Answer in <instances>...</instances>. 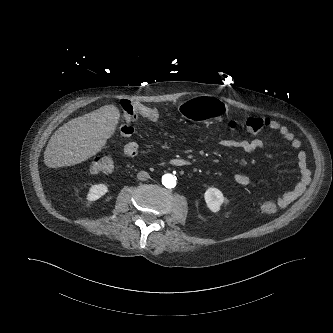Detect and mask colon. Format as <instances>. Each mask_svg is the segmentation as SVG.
I'll return each instance as SVG.
<instances>
[{"instance_id": "5ec220e1", "label": "colon", "mask_w": 333, "mask_h": 333, "mask_svg": "<svg viewBox=\"0 0 333 333\" xmlns=\"http://www.w3.org/2000/svg\"><path fill=\"white\" fill-rule=\"evenodd\" d=\"M122 109L123 121L120 125V132L123 136H131L134 133V124L139 116L151 121H158L162 118L161 113L157 109L127 100L122 102ZM269 122L266 118L250 117L242 122L231 120L229 127L232 129L242 128L248 133L256 134L269 126ZM113 168L114 162L109 156H97L91 161L89 166L90 171L93 173H109ZM259 211L264 215H273L277 212V204L272 201H264L261 203Z\"/></svg>"}]
</instances>
